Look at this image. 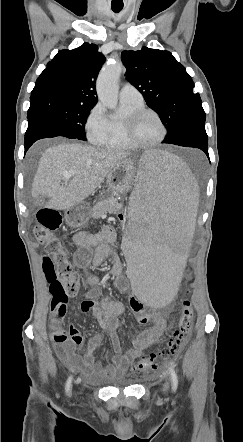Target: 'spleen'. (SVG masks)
<instances>
[{
	"instance_id": "spleen-1",
	"label": "spleen",
	"mask_w": 243,
	"mask_h": 442,
	"mask_svg": "<svg viewBox=\"0 0 243 442\" xmlns=\"http://www.w3.org/2000/svg\"><path fill=\"white\" fill-rule=\"evenodd\" d=\"M130 185L128 228L123 239L126 279L144 307L173 302L190 258L198 209L196 179L161 147H146Z\"/></svg>"
}]
</instances>
